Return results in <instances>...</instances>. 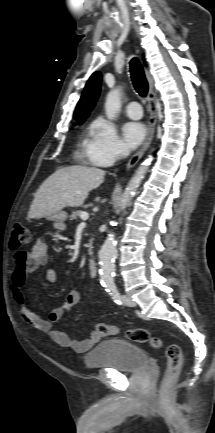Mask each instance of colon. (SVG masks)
Wrapping results in <instances>:
<instances>
[{"mask_svg": "<svg viewBox=\"0 0 215 433\" xmlns=\"http://www.w3.org/2000/svg\"><path fill=\"white\" fill-rule=\"evenodd\" d=\"M31 242L29 228L23 223H15L12 230L11 247L19 249ZM96 331L100 336L107 337L118 334L121 329L118 326L108 325L99 322L96 324ZM124 335L131 341L137 343H150L154 347L161 345L160 340L143 328H129L124 330ZM167 368L163 379V388L166 389L172 380L180 373L182 368V355L177 344H169L165 348Z\"/></svg>", "mask_w": 215, "mask_h": 433, "instance_id": "5ec220e1", "label": "colon"}]
</instances>
